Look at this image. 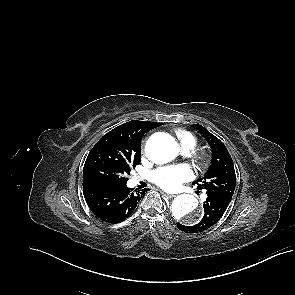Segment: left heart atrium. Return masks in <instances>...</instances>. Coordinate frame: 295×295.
Returning <instances> with one entry per match:
<instances>
[{"instance_id":"39dd6f15","label":"left heart atrium","mask_w":295,"mask_h":295,"mask_svg":"<svg viewBox=\"0 0 295 295\" xmlns=\"http://www.w3.org/2000/svg\"><path fill=\"white\" fill-rule=\"evenodd\" d=\"M193 178L191 168L186 164L162 167L152 174L153 182L167 191L178 190L184 182Z\"/></svg>"}]
</instances>
